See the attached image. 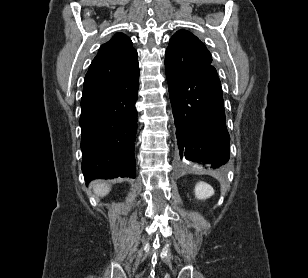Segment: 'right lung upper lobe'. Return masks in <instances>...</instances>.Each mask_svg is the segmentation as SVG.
<instances>
[{
    "label": "right lung upper lobe",
    "mask_w": 308,
    "mask_h": 278,
    "mask_svg": "<svg viewBox=\"0 0 308 278\" xmlns=\"http://www.w3.org/2000/svg\"><path fill=\"white\" fill-rule=\"evenodd\" d=\"M138 75L137 52L132 41L117 33L99 48L85 76L83 95L116 90Z\"/></svg>",
    "instance_id": "right-lung-upper-lobe-1"
}]
</instances>
